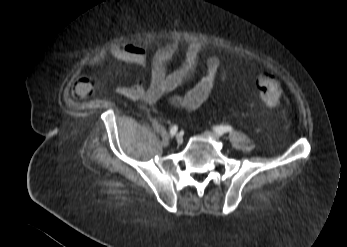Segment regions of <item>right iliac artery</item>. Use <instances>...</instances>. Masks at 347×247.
Here are the masks:
<instances>
[{"label": "right iliac artery", "mask_w": 347, "mask_h": 247, "mask_svg": "<svg viewBox=\"0 0 347 247\" xmlns=\"http://www.w3.org/2000/svg\"><path fill=\"white\" fill-rule=\"evenodd\" d=\"M177 130H178V127L176 125L171 127V129H170L171 137H173L176 134Z\"/></svg>", "instance_id": "right-iliac-artery-1"}]
</instances>
